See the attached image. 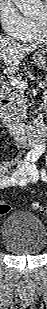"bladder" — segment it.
I'll use <instances>...</instances> for the list:
<instances>
[{
	"instance_id": "bladder-1",
	"label": "bladder",
	"mask_w": 47,
	"mask_h": 309,
	"mask_svg": "<svg viewBox=\"0 0 47 309\" xmlns=\"http://www.w3.org/2000/svg\"><path fill=\"white\" fill-rule=\"evenodd\" d=\"M2 244L14 255H38L46 247L45 226L29 212H14L3 222Z\"/></svg>"
}]
</instances>
